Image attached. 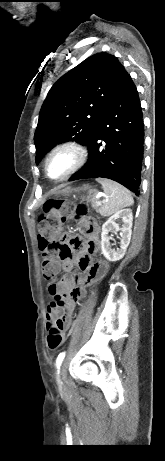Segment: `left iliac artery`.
I'll return each mask as SVG.
<instances>
[{
  "label": "left iliac artery",
  "mask_w": 165,
  "mask_h": 461,
  "mask_svg": "<svg viewBox=\"0 0 165 461\" xmlns=\"http://www.w3.org/2000/svg\"><path fill=\"white\" fill-rule=\"evenodd\" d=\"M64 357H65V353H64V352H62V353H60V354L58 355V357H57V365H58V368H59V365L62 363Z\"/></svg>",
  "instance_id": "obj_1"
}]
</instances>
